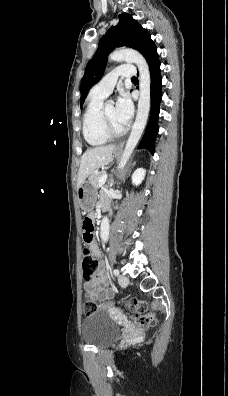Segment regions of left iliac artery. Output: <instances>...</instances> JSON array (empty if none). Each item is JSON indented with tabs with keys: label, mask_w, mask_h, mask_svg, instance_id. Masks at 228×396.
<instances>
[{
	"label": "left iliac artery",
	"mask_w": 228,
	"mask_h": 396,
	"mask_svg": "<svg viewBox=\"0 0 228 396\" xmlns=\"http://www.w3.org/2000/svg\"><path fill=\"white\" fill-rule=\"evenodd\" d=\"M113 274H114L115 276H118V275H119V270H118V269H114V270H113Z\"/></svg>",
	"instance_id": "1"
}]
</instances>
